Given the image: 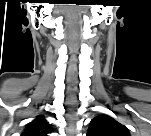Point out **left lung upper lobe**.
Segmentation results:
<instances>
[{"label": "left lung upper lobe", "mask_w": 151, "mask_h": 136, "mask_svg": "<svg viewBox=\"0 0 151 136\" xmlns=\"http://www.w3.org/2000/svg\"><path fill=\"white\" fill-rule=\"evenodd\" d=\"M87 136H130L128 129L114 118L101 114L91 120Z\"/></svg>", "instance_id": "left-lung-upper-lobe-1"}]
</instances>
